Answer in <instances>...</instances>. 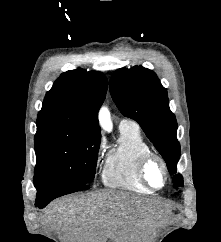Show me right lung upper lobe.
<instances>
[{
	"instance_id": "1",
	"label": "right lung upper lobe",
	"mask_w": 221,
	"mask_h": 242,
	"mask_svg": "<svg viewBox=\"0 0 221 242\" xmlns=\"http://www.w3.org/2000/svg\"><path fill=\"white\" fill-rule=\"evenodd\" d=\"M107 87L101 72L77 69L63 73L46 94L37 128L67 126L101 135L97 115Z\"/></svg>"
}]
</instances>
